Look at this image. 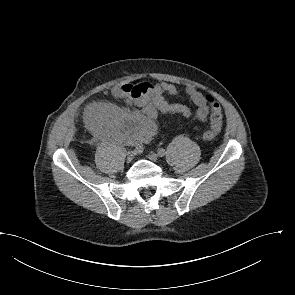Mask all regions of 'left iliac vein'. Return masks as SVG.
<instances>
[{
	"label": "left iliac vein",
	"instance_id": "left-iliac-vein-1",
	"mask_svg": "<svg viewBox=\"0 0 295 295\" xmlns=\"http://www.w3.org/2000/svg\"><path fill=\"white\" fill-rule=\"evenodd\" d=\"M148 158L152 162H157V160L159 159V155L156 154V153L151 152V153L148 154Z\"/></svg>",
	"mask_w": 295,
	"mask_h": 295
}]
</instances>
